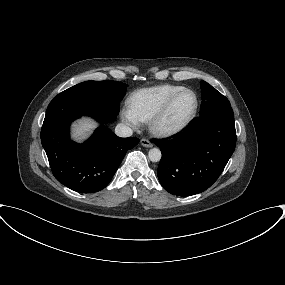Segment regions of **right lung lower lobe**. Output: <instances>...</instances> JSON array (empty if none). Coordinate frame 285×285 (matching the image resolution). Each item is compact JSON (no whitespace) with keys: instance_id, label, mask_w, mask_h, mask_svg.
I'll use <instances>...</instances> for the list:
<instances>
[{"instance_id":"1","label":"right lung lower lobe","mask_w":285,"mask_h":285,"mask_svg":"<svg viewBox=\"0 0 285 285\" xmlns=\"http://www.w3.org/2000/svg\"><path fill=\"white\" fill-rule=\"evenodd\" d=\"M83 115L100 123L112 122L117 117L76 99L56 96L46 111L41 142L52 173L60 183L79 193H93L110 182L126 152L139 139L120 138L102 125L86 142L77 144L70 140L69 126Z\"/></svg>"}]
</instances>
